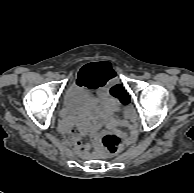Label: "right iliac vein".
<instances>
[{"mask_svg":"<svg viewBox=\"0 0 194 193\" xmlns=\"http://www.w3.org/2000/svg\"><path fill=\"white\" fill-rule=\"evenodd\" d=\"M53 78L55 80H59L60 79V75L58 73H56V74L53 75Z\"/></svg>","mask_w":194,"mask_h":193,"instance_id":"1","label":"right iliac vein"}]
</instances>
